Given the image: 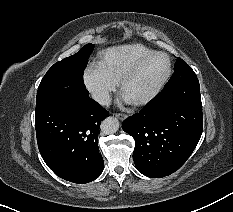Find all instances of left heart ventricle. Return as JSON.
<instances>
[{"label":"left heart ventricle","mask_w":233,"mask_h":212,"mask_svg":"<svg viewBox=\"0 0 233 212\" xmlns=\"http://www.w3.org/2000/svg\"><path fill=\"white\" fill-rule=\"evenodd\" d=\"M168 63L164 56L158 55L149 59L139 72L128 82L123 94L129 101H135L148 94L162 79Z\"/></svg>","instance_id":"left-heart-ventricle-1"}]
</instances>
